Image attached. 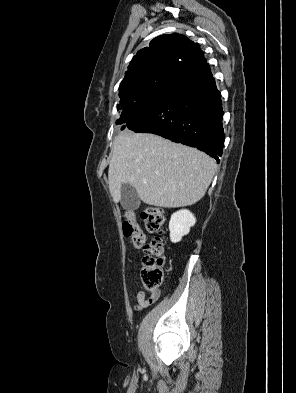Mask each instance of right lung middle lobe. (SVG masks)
Here are the masks:
<instances>
[{
  "label": "right lung middle lobe",
  "instance_id": "obj_1",
  "mask_svg": "<svg viewBox=\"0 0 296 393\" xmlns=\"http://www.w3.org/2000/svg\"><path fill=\"white\" fill-rule=\"evenodd\" d=\"M168 79L169 77L165 76L153 78L143 86L139 95L130 100L120 102L117 106V110L123 109V111L121 112L117 124L123 125L121 128L122 130L130 120L141 113L142 110L152 102L161 85Z\"/></svg>",
  "mask_w": 296,
  "mask_h": 393
}]
</instances>
